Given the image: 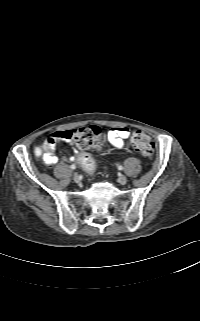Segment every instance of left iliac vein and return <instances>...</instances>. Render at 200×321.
Returning <instances> with one entry per match:
<instances>
[{
    "instance_id": "4c4485c4",
    "label": "left iliac vein",
    "mask_w": 200,
    "mask_h": 321,
    "mask_svg": "<svg viewBox=\"0 0 200 321\" xmlns=\"http://www.w3.org/2000/svg\"><path fill=\"white\" fill-rule=\"evenodd\" d=\"M118 182L122 185L127 183V177L125 175H120L118 178Z\"/></svg>"
}]
</instances>
